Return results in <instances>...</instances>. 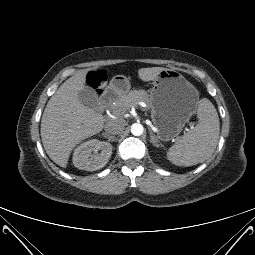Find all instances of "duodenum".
Returning <instances> with one entry per match:
<instances>
[{
  "label": "duodenum",
  "instance_id": "obj_1",
  "mask_svg": "<svg viewBox=\"0 0 255 255\" xmlns=\"http://www.w3.org/2000/svg\"><path fill=\"white\" fill-rule=\"evenodd\" d=\"M122 89H124V86L114 83L108 89L101 91L99 93L100 104L104 107L108 106Z\"/></svg>",
  "mask_w": 255,
  "mask_h": 255
}]
</instances>
